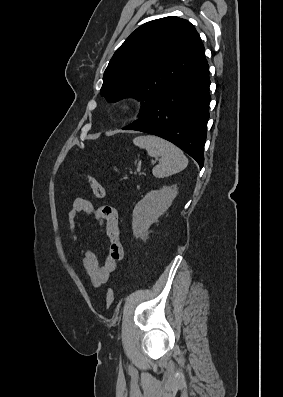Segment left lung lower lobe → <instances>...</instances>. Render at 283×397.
Returning <instances> with one entry per match:
<instances>
[{"instance_id": "obj_1", "label": "left lung lower lobe", "mask_w": 283, "mask_h": 397, "mask_svg": "<svg viewBox=\"0 0 283 397\" xmlns=\"http://www.w3.org/2000/svg\"><path fill=\"white\" fill-rule=\"evenodd\" d=\"M207 61L160 96L139 119L124 127L162 137L204 164L206 125L209 119Z\"/></svg>"}]
</instances>
